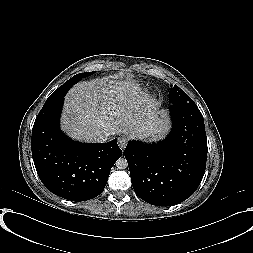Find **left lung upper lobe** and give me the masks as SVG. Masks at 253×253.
I'll return each mask as SVG.
<instances>
[{
    "instance_id": "1",
    "label": "left lung upper lobe",
    "mask_w": 253,
    "mask_h": 253,
    "mask_svg": "<svg viewBox=\"0 0 253 253\" xmlns=\"http://www.w3.org/2000/svg\"><path fill=\"white\" fill-rule=\"evenodd\" d=\"M169 97L172 104L197 108L196 104L177 85L170 89Z\"/></svg>"
}]
</instances>
